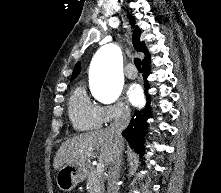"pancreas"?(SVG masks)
Wrapping results in <instances>:
<instances>
[{"label":"pancreas","instance_id":"cf45deb5","mask_svg":"<svg viewBox=\"0 0 221 193\" xmlns=\"http://www.w3.org/2000/svg\"><path fill=\"white\" fill-rule=\"evenodd\" d=\"M89 193H104V176L97 170H92L87 177Z\"/></svg>","mask_w":221,"mask_h":193}]
</instances>
